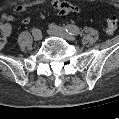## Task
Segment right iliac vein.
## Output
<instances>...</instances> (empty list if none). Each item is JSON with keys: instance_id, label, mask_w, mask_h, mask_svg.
Segmentation results:
<instances>
[{"instance_id": "1", "label": "right iliac vein", "mask_w": 119, "mask_h": 119, "mask_svg": "<svg viewBox=\"0 0 119 119\" xmlns=\"http://www.w3.org/2000/svg\"><path fill=\"white\" fill-rule=\"evenodd\" d=\"M38 31H39L38 36L34 37V40H35V41H39V40H41V39H42V33H41V31H40V30H38Z\"/></svg>"}]
</instances>
